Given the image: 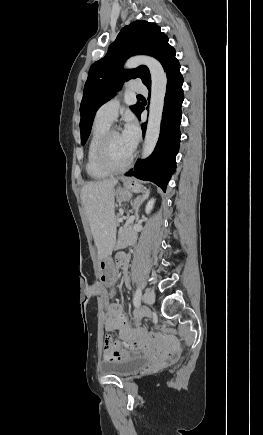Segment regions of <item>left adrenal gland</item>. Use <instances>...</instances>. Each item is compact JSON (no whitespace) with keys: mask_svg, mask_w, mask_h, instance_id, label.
<instances>
[{"mask_svg":"<svg viewBox=\"0 0 263 435\" xmlns=\"http://www.w3.org/2000/svg\"><path fill=\"white\" fill-rule=\"evenodd\" d=\"M148 196H149V189L144 188L142 194L138 196L132 204V210H134L135 212L136 222L139 220V208L141 204L148 198Z\"/></svg>","mask_w":263,"mask_h":435,"instance_id":"left-adrenal-gland-1","label":"left adrenal gland"}]
</instances>
